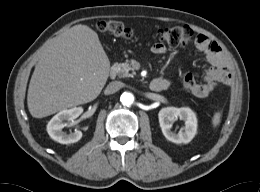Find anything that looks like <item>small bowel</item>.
<instances>
[{
	"label": "small bowel",
	"mask_w": 260,
	"mask_h": 192,
	"mask_svg": "<svg viewBox=\"0 0 260 192\" xmlns=\"http://www.w3.org/2000/svg\"><path fill=\"white\" fill-rule=\"evenodd\" d=\"M196 46L199 50L205 53L210 67L206 70L203 76L204 83H197V90L193 92L198 97H207L219 84L229 85L232 81L230 69L226 65V61L220 51L219 46L204 35H199L196 38ZM151 52L154 54H163L166 52V47L162 43H155L151 47ZM166 83V88L169 87L170 81L162 79Z\"/></svg>",
	"instance_id": "small-bowel-1"
}]
</instances>
